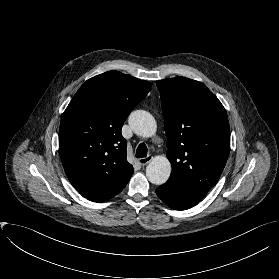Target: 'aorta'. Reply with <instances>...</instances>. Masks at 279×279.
Segmentation results:
<instances>
[{
	"label": "aorta",
	"mask_w": 279,
	"mask_h": 279,
	"mask_svg": "<svg viewBox=\"0 0 279 279\" xmlns=\"http://www.w3.org/2000/svg\"><path fill=\"white\" fill-rule=\"evenodd\" d=\"M129 125L134 133L142 137L153 136L157 129L154 117L144 110L133 111L129 116ZM171 169L166 157L157 156L147 165L146 176L152 184L161 185L169 179Z\"/></svg>",
	"instance_id": "aorta-1"
}]
</instances>
